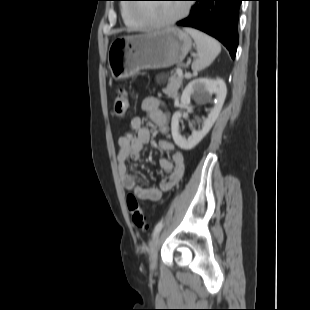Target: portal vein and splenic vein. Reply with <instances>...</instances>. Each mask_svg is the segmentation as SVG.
<instances>
[{
	"label": "portal vein and splenic vein",
	"mask_w": 310,
	"mask_h": 310,
	"mask_svg": "<svg viewBox=\"0 0 310 310\" xmlns=\"http://www.w3.org/2000/svg\"><path fill=\"white\" fill-rule=\"evenodd\" d=\"M177 74H178L179 76L183 75L182 70H181V69H177ZM186 77L189 78V77H190V74H186Z\"/></svg>",
	"instance_id": "1"
}]
</instances>
